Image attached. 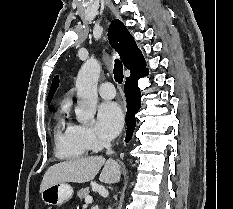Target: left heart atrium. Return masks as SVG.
I'll list each match as a JSON object with an SVG mask.
<instances>
[{"instance_id":"1","label":"left heart atrium","mask_w":233,"mask_h":209,"mask_svg":"<svg viewBox=\"0 0 233 209\" xmlns=\"http://www.w3.org/2000/svg\"><path fill=\"white\" fill-rule=\"evenodd\" d=\"M124 117L121 108L115 102H103L99 105L96 117V129L105 139H112L121 130Z\"/></svg>"}]
</instances>
